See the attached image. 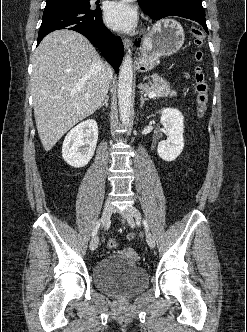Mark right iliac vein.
I'll list each match as a JSON object with an SVG mask.
<instances>
[{"instance_id": "obj_1", "label": "right iliac vein", "mask_w": 247, "mask_h": 332, "mask_svg": "<svg viewBox=\"0 0 247 332\" xmlns=\"http://www.w3.org/2000/svg\"><path fill=\"white\" fill-rule=\"evenodd\" d=\"M113 212V207L110 203H106L102 213V226L106 225L108 220L110 219ZM99 242V237L95 236L90 242V249L93 251L97 248Z\"/></svg>"}]
</instances>
